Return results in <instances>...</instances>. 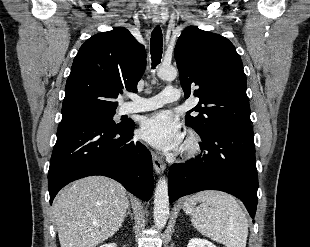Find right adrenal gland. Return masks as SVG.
<instances>
[{"label": "right adrenal gland", "mask_w": 310, "mask_h": 247, "mask_svg": "<svg viewBox=\"0 0 310 247\" xmlns=\"http://www.w3.org/2000/svg\"><path fill=\"white\" fill-rule=\"evenodd\" d=\"M128 215H130V217L133 218L131 210H130V206L128 207V212L125 217H127Z\"/></svg>", "instance_id": "2a0ac1e0"}]
</instances>
